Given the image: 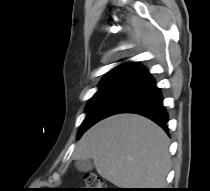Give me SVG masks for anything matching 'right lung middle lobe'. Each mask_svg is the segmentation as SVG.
I'll use <instances>...</instances> for the list:
<instances>
[{
	"label": "right lung middle lobe",
	"instance_id": "1",
	"mask_svg": "<svg viewBox=\"0 0 210 191\" xmlns=\"http://www.w3.org/2000/svg\"><path fill=\"white\" fill-rule=\"evenodd\" d=\"M126 66H127V63L122 64V65L112 69L111 71H109L107 73L106 77L100 83L99 90L91 98V100L88 102V104L86 106L87 115L78 131V136H77L78 139L83 135V133L87 129H89L92 125L95 124V117H96V113H97L99 107L102 105V103L108 97V95L111 92V90L113 89L114 85L116 84L118 79L123 74Z\"/></svg>",
	"mask_w": 210,
	"mask_h": 191
}]
</instances>
